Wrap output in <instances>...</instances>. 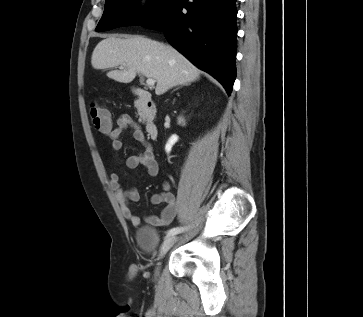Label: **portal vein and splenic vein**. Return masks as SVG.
<instances>
[{"label": "portal vein and splenic vein", "mask_w": 363, "mask_h": 317, "mask_svg": "<svg viewBox=\"0 0 363 317\" xmlns=\"http://www.w3.org/2000/svg\"><path fill=\"white\" fill-rule=\"evenodd\" d=\"M155 80L154 79H152V78H148L147 80H146V84L148 85V86H151V87H153L154 85H155Z\"/></svg>", "instance_id": "1"}]
</instances>
